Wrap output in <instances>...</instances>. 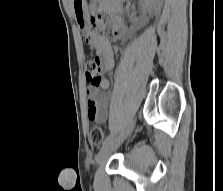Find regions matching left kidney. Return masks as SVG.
<instances>
[{
  "instance_id": "5707ae66",
  "label": "left kidney",
  "mask_w": 223,
  "mask_h": 191,
  "mask_svg": "<svg viewBox=\"0 0 223 191\" xmlns=\"http://www.w3.org/2000/svg\"><path fill=\"white\" fill-rule=\"evenodd\" d=\"M163 0H141L140 6L143 10L158 15L161 11Z\"/></svg>"
}]
</instances>
